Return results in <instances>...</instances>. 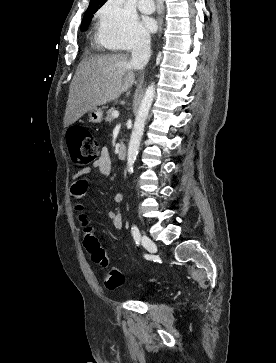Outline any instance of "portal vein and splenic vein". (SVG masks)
Masks as SVG:
<instances>
[{
  "mask_svg": "<svg viewBox=\"0 0 276 363\" xmlns=\"http://www.w3.org/2000/svg\"><path fill=\"white\" fill-rule=\"evenodd\" d=\"M112 116H113V118H118L119 112L118 111H113Z\"/></svg>",
  "mask_w": 276,
  "mask_h": 363,
  "instance_id": "obj_1",
  "label": "portal vein and splenic vein"
}]
</instances>
